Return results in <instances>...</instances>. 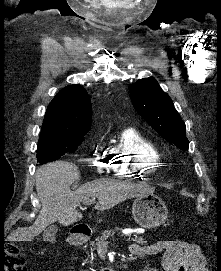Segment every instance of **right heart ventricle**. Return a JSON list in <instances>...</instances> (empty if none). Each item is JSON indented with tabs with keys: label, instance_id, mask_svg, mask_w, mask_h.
I'll list each match as a JSON object with an SVG mask.
<instances>
[{
	"label": "right heart ventricle",
	"instance_id": "1",
	"mask_svg": "<svg viewBox=\"0 0 221 271\" xmlns=\"http://www.w3.org/2000/svg\"><path fill=\"white\" fill-rule=\"evenodd\" d=\"M118 147L130 154H116V158H107L111 164L113 176L119 179H147L157 166H161L162 150L158 143L148 137L119 138ZM152 165L150 166V163Z\"/></svg>",
	"mask_w": 221,
	"mask_h": 271
}]
</instances>
